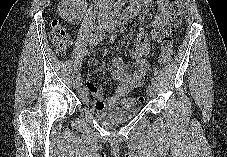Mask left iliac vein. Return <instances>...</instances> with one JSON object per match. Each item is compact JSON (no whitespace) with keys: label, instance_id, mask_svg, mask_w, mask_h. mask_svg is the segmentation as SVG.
Segmentation results:
<instances>
[{"label":"left iliac vein","instance_id":"left-iliac-vein-1","mask_svg":"<svg viewBox=\"0 0 227 157\" xmlns=\"http://www.w3.org/2000/svg\"><path fill=\"white\" fill-rule=\"evenodd\" d=\"M147 95L149 97H154L156 95V89H155V86L153 85H150L147 89Z\"/></svg>","mask_w":227,"mask_h":157}]
</instances>
